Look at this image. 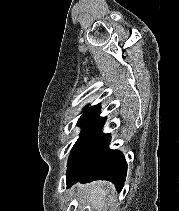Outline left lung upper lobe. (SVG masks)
Wrapping results in <instances>:
<instances>
[{
	"mask_svg": "<svg viewBox=\"0 0 179 211\" xmlns=\"http://www.w3.org/2000/svg\"><path fill=\"white\" fill-rule=\"evenodd\" d=\"M100 106L95 105L93 107H87L84 110V113L78 120V125H81L83 130L82 133L80 134L78 140L74 144L72 150H71V155L69 157V161L72 159L76 151L78 150L79 146L83 142L85 136L87 135L89 129L92 127V125L96 122V120L99 118L98 113H99Z\"/></svg>",
	"mask_w": 179,
	"mask_h": 211,
	"instance_id": "obj_1",
	"label": "left lung upper lobe"
}]
</instances>
